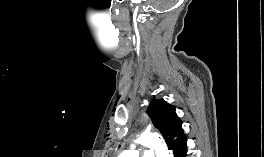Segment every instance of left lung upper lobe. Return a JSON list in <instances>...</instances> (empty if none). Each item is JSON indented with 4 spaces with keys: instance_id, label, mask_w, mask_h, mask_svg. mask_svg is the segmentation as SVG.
Returning a JSON list of instances; mask_svg holds the SVG:
<instances>
[{
    "instance_id": "obj_1",
    "label": "left lung upper lobe",
    "mask_w": 264,
    "mask_h": 157,
    "mask_svg": "<svg viewBox=\"0 0 264 157\" xmlns=\"http://www.w3.org/2000/svg\"><path fill=\"white\" fill-rule=\"evenodd\" d=\"M147 112L154 126L163 135L168 149L172 150L186 139L182 129V121L178 118L174 105L163 99H154L150 103Z\"/></svg>"
}]
</instances>
